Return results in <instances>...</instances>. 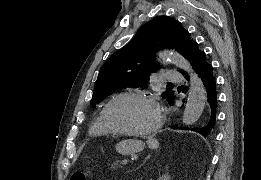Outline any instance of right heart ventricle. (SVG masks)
Returning <instances> with one entry per match:
<instances>
[{
  "instance_id": "obj_1",
  "label": "right heart ventricle",
  "mask_w": 261,
  "mask_h": 180,
  "mask_svg": "<svg viewBox=\"0 0 261 180\" xmlns=\"http://www.w3.org/2000/svg\"><path fill=\"white\" fill-rule=\"evenodd\" d=\"M88 134L91 139L100 142H108L116 139V137L105 128L101 118V112H99L91 122L88 128Z\"/></svg>"
}]
</instances>
